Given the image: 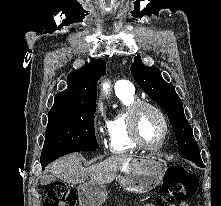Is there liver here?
<instances>
[{
	"instance_id": "1",
	"label": "liver",
	"mask_w": 221,
	"mask_h": 206,
	"mask_svg": "<svg viewBox=\"0 0 221 206\" xmlns=\"http://www.w3.org/2000/svg\"><path fill=\"white\" fill-rule=\"evenodd\" d=\"M134 156L113 155L104 161L93 164L90 167H83L82 156L78 153L67 155L50 166L51 175H46L41 179V184L50 183L57 177L68 183L78 184L90 177V182L105 184L117 178L118 173Z\"/></svg>"
}]
</instances>
